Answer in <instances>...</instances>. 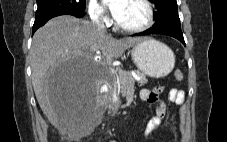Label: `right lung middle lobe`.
I'll use <instances>...</instances> for the list:
<instances>
[{"instance_id":"1","label":"right lung middle lobe","mask_w":227,"mask_h":142,"mask_svg":"<svg viewBox=\"0 0 227 142\" xmlns=\"http://www.w3.org/2000/svg\"><path fill=\"white\" fill-rule=\"evenodd\" d=\"M36 16L57 11H84L85 0H37Z\"/></svg>"}]
</instances>
